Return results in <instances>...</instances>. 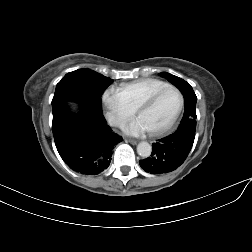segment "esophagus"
<instances>
[{
  "label": "esophagus",
  "mask_w": 252,
  "mask_h": 252,
  "mask_svg": "<svg viewBox=\"0 0 252 252\" xmlns=\"http://www.w3.org/2000/svg\"><path fill=\"white\" fill-rule=\"evenodd\" d=\"M126 141L133 145L137 144V140H134V139H127Z\"/></svg>",
  "instance_id": "esophagus-1"
}]
</instances>
